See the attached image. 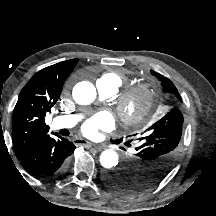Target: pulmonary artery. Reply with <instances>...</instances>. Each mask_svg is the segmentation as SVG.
<instances>
[{
  "instance_id": "pulmonary-artery-1",
  "label": "pulmonary artery",
  "mask_w": 216,
  "mask_h": 216,
  "mask_svg": "<svg viewBox=\"0 0 216 216\" xmlns=\"http://www.w3.org/2000/svg\"><path fill=\"white\" fill-rule=\"evenodd\" d=\"M96 88L101 98L111 97L116 92L115 88L103 79L97 80ZM79 119V115L57 116L53 119L52 125L56 129L71 128L77 124Z\"/></svg>"
}]
</instances>
